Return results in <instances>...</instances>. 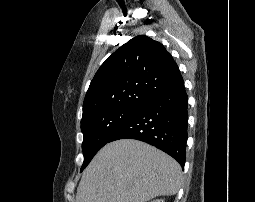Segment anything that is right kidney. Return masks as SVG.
I'll return each instance as SVG.
<instances>
[{
	"label": "right kidney",
	"instance_id": "right-kidney-1",
	"mask_svg": "<svg viewBox=\"0 0 255 202\" xmlns=\"http://www.w3.org/2000/svg\"><path fill=\"white\" fill-rule=\"evenodd\" d=\"M151 202H165L164 200H162V199H157V200H153V201H151Z\"/></svg>",
	"mask_w": 255,
	"mask_h": 202
}]
</instances>
